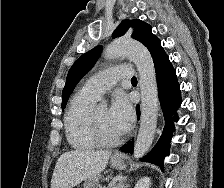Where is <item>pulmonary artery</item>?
Listing matches in <instances>:
<instances>
[{
	"mask_svg": "<svg viewBox=\"0 0 224 188\" xmlns=\"http://www.w3.org/2000/svg\"><path fill=\"white\" fill-rule=\"evenodd\" d=\"M133 76V70L127 66L109 67L92 76L83 86V90L96 98L101 97L111 89L118 80L129 79Z\"/></svg>",
	"mask_w": 224,
	"mask_h": 188,
	"instance_id": "e3ab8cb5",
	"label": "pulmonary artery"
}]
</instances>
